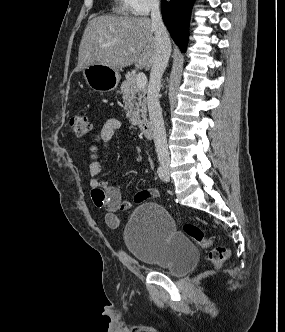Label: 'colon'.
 <instances>
[{
	"mask_svg": "<svg viewBox=\"0 0 285 332\" xmlns=\"http://www.w3.org/2000/svg\"><path fill=\"white\" fill-rule=\"evenodd\" d=\"M70 128L75 136L79 138L87 137L92 131V124L84 115H76L70 120ZM183 230L187 236L202 246L208 247L211 242L206 239L203 230L196 224L187 223ZM229 257V250L224 246H217L212 248L208 253L210 262L215 265H221Z\"/></svg>",
	"mask_w": 285,
	"mask_h": 332,
	"instance_id": "1",
	"label": "colon"
}]
</instances>
